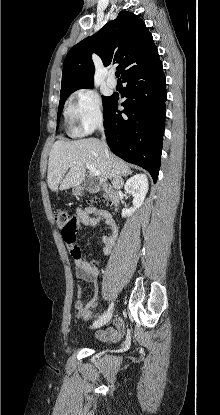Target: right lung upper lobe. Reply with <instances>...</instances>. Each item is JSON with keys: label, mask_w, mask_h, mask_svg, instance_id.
Instances as JSON below:
<instances>
[{"label": "right lung upper lobe", "mask_w": 220, "mask_h": 415, "mask_svg": "<svg viewBox=\"0 0 220 415\" xmlns=\"http://www.w3.org/2000/svg\"><path fill=\"white\" fill-rule=\"evenodd\" d=\"M95 52L103 64L118 63L121 77L145 69L159 60L158 50L145 23L135 14L121 11L96 34L76 44L63 63L60 94L93 85Z\"/></svg>", "instance_id": "1"}]
</instances>
